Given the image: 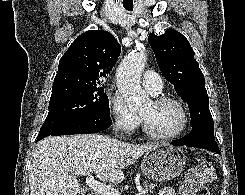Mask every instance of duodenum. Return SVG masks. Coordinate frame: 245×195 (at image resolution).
<instances>
[{
    "label": "duodenum",
    "instance_id": "410a0bca",
    "mask_svg": "<svg viewBox=\"0 0 245 195\" xmlns=\"http://www.w3.org/2000/svg\"><path fill=\"white\" fill-rule=\"evenodd\" d=\"M87 195H95V194H93V193H89V194H87Z\"/></svg>",
    "mask_w": 245,
    "mask_h": 195
}]
</instances>
